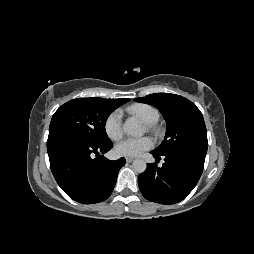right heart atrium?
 Listing matches in <instances>:
<instances>
[{
    "instance_id": "d8ad5b80",
    "label": "right heart atrium",
    "mask_w": 254,
    "mask_h": 254,
    "mask_svg": "<svg viewBox=\"0 0 254 254\" xmlns=\"http://www.w3.org/2000/svg\"><path fill=\"white\" fill-rule=\"evenodd\" d=\"M104 130L111 140H119L122 137L121 113L116 110L111 112L104 121Z\"/></svg>"
}]
</instances>
